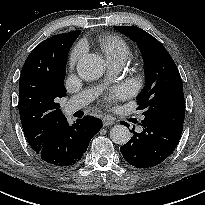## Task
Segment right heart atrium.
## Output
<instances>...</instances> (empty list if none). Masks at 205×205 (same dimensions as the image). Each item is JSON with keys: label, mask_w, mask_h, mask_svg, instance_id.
I'll return each instance as SVG.
<instances>
[{"label": "right heart atrium", "mask_w": 205, "mask_h": 205, "mask_svg": "<svg viewBox=\"0 0 205 205\" xmlns=\"http://www.w3.org/2000/svg\"><path fill=\"white\" fill-rule=\"evenodd\" d=\"M84 50L85 48L82 44H77L73 48L69 58L70 65H74L78 61V59L83 55Z\"/></svg>", "instance_id": "1"}]
</instances>
